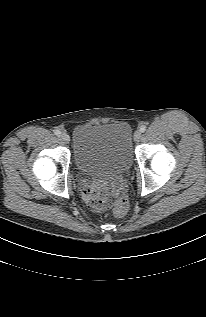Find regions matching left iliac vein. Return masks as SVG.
I'll list each match as a JSON object with an SVG mask.
<instances>
[{
  "label": "left iliac vein",
  "instance_id": "1",
  "mask_svg": "<svg viewBox=\"0 0 206 317\" xmlns=\"http://www.w3.org/2000/svg\"><path fill=\"white\" fill-rule=\"evenodd\" d=\"M141 138V132L140 131H136L134 134V140L135 141H139Z\"/></svg>",
  "mask_w": 206,
  "mask_h": 317
}]
</instances>
